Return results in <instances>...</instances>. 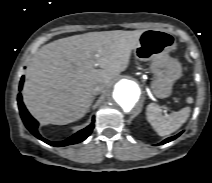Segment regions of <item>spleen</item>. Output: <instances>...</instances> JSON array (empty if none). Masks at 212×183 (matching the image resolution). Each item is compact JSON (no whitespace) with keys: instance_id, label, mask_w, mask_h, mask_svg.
Wrapping results in <instances>:
<instances>
[{"instance_id":"3e777b00","label":"spleen","mask_w":212,"mask_h":183,"mask_svg":"<svg viewBox=\"0 0 212 183\" xmlns=\"http://www.w3.org/2000/svg\"><path fill=\"white\" fill-rule=\"evenodd\" d=\"M190 107H185L177 112L163 115L162 109L155 103H150L146 109L148 122L160 135H169L178 130L188 119Z\"/></svg>"}]
</instances>
